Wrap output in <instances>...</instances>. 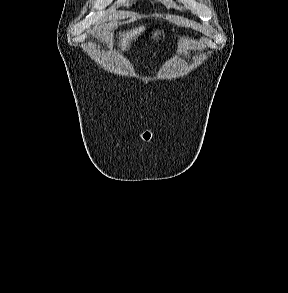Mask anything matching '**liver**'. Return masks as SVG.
<instances>
[{"label": "liver", "mask_w": 288, "mask_h": 293, "mask_svg": "<svg viewBox=\"0 0 288 293\" xmlns=\"http://www.w3.org/2000/svg\"><path fill=\"white\" fill-rule=\"evenodd\" d=\"M145 30L144 26H140L138 28H133L130 31L127 32H123V33H119L120 35V45L122 47V50H126L127 48H129L131 41L134 39L136 40V38L143 33Z\"/></svg>", "instance_id": "liver-1"}]
</instances>
